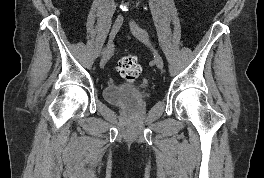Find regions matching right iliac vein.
Returning a JSON list of instances; mask_svg holds the SVG:
<instances>
[{"instance_id":"obj_1","label":"right iliac vein","mask_w":264,"mask_h":178,"mask_svg":"<svg viewBox=\"0 0 264 178\" xmlns=\"http://www.w3.org/2000/svg\"><path fill=\"white\" fill-rule=\"evenodd\" d=\"M122 23H123V17L121 15H119L113 26H112V29H111V32H110V36H109V41L111 42L114 37L116 36V34L118 33V31L120 30L121 26H122ZM109 59V51H108V48L104 51V54L101 58V61H100V67H104L107 60Z\"/></svg>"}]
</instances>
